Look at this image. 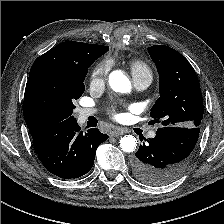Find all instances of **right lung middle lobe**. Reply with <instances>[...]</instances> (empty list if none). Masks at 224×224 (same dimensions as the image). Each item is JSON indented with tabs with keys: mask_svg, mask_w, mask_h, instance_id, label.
<instances>
[{
	"mask_svg": "<svg viewBox=\"0 0 224 224\" xmlns=\"http://www.w3.org/2000/svg\"><path fill=\"white\" fill-rule=\"evenodd\" d=\"M91 64L69 70L44 68L31 72L26 84L23 114L29 130H43L73 122V102L84 92V79Z\"/></svg>",
	"mask_w": 224,
	"mask_h": 224,
	"instance_id": "right-lung-middle-lobe-1",
	"label": "right lung middle lobe"
}]
</instances>
